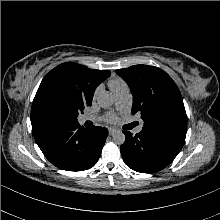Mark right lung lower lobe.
Here are the masks:
<instances>
[{
    "mask_svg": "<svg viewBox=\"0 0 220 220\" xmlns=\"http://www.w3.org/2000/svg\"><path fill=\"white\" fill-rule=\"evenodd\" d=\"M32 132L45 157L57 168L68 171L94 166L108 136L104 127L84 129L78 122L44 123L32 127Z\"/></svg>",
    "mask_w": 220,
    "mask_h": 220,
    "instance_id": "obj_1",
    "label": "right lung lower lobe"
}]
</instances>
